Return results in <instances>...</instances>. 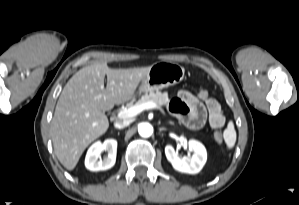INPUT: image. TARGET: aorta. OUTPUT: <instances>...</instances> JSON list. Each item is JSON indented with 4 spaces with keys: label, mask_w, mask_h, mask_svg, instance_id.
Instances as JSON below:
<instances>
[{
    "label": "aorta",
    "mask_w": 299,
    "mask_h": 205,
    "mask_svg": "<svg viewBox=\"0 0 299 205\" xmlns=\"http://www.w3.org/2000/svg\"><path fill=\"white\" fill-rule=\"evenodd\" d=\"M138 132L140 134V136L142 137H150L153 133V127L151 124L149 123H141L139 126H138Z\"/></svg>",
    "instance_id": "obj_1"
}]
</instances>
